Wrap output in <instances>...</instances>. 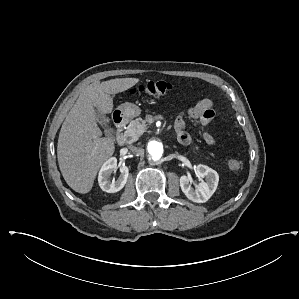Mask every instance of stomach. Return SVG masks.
I'll list each match as a JSON object with an SVG mask.
<instances>
[{"instance_id":"stomach-1","label":"stomach","mask_w":299,"mask_h":299,"mask_svg":"<svg viewBox=\"0 0 299 299\" xmlns=\"http://www.w3.org/2000/svg\"><path fill=\"white\" fill-rule=\"evenodd\" d=\"M118 110L127 119H132V118L137 117L141 114V109L137 105H135L133 103H129V102L121 104L118 107Z\"/></svg>"}]
</instances>
